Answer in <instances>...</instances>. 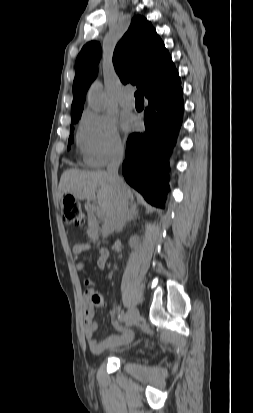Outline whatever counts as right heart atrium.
<instances>
[{"mask_svg":"<svg viewBox=\"0 0 253 413\" xmlns=\"http://www.w3.org/2000/svg\"><path fill=\"white\" fill-rule=\"evenodd\" d=\"M77 141L85 163L93 168L104 167L123 152L116 120L93 111L84 114Z\"/></svg>","mask_w":253,"mask_h":413,"instance_id":"d8ad5b80","label":"right heart atrium"}]
</instances>
